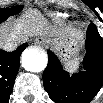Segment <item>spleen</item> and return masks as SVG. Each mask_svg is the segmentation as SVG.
<instances>
[{"label":"spleen","instance_id":"3e777b00","mask_svg":"<svg viewBox=\"0 0 103 103\" xmlns=\"http://www.w3.org/2000/svg\"><path fill=\"white\" fill-rule=\"evenodd\" d=\"M65 67L67 69H69L71 73H74L79 70L80 62L76 58V59L72 60L71 62L66 63Z\"/></svg>","mask_w":103,"mask_h":103}]
</instances>
